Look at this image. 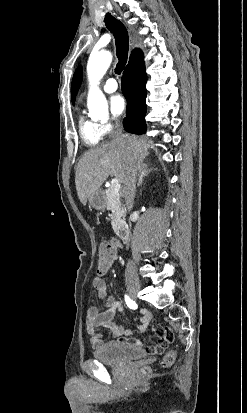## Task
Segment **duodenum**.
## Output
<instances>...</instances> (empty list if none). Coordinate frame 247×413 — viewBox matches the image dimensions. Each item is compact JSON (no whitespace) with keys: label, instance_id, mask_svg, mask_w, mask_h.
<instances>
[{"label":"duodenum","instance_id":"obj_1","mask_svg":"<svg viewBox=\"0 0 247 413\" xmlns=\"http://www.w3.org/2000/svg\"><path fill=\"white\" fill-rule=\"evenodd\" d=\"M116 233L122 241H125L129 238V228L126 225L119 226Z\"/></svg>","mask_w":247,"mask_h":413}]
</instances>
